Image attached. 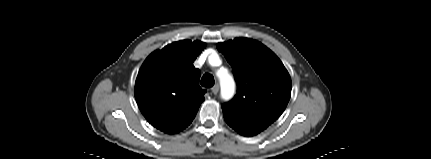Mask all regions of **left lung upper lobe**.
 Masks as SVG:
<instances>
[{"mask_svg": "<svg viewBox=\"0 0 431 159\" xmlns=\"http://www.w3.org/2000/svg\"><path fill=\"white\" fill-rule=\"evenodd\" d=\"M232 66L237 94L222 106L226 123L236 131L261 132L285 110L291 79L280 59L266 46L249 38L218 43Z\"/></svg>", "mask_w": 431, "mask_h": 159, "instance_id": "5c2ea615", "label": "left lung upper lobe"}]
</instances>
